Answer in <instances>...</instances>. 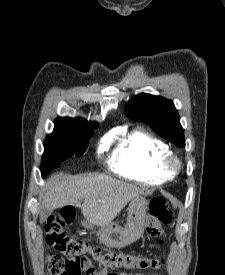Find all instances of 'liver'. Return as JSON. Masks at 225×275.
Masks as SVG:
<instances>
[{"mask_svg":"<svg viewBox=\"0 0 225 275\" xmlns=\"http://www.w3.org/2000/svg\"><path fill=\"white\" fill-rule=\"evenodd\" d=\"M144 194L141 188L105 174L58 173L47 180L41 198L43 207L50 210L67 205L80 207L90 224L103 227L110 224L130 200Z\"/></svg>","mask_w":225,"mask_h":275,"instance_id":"obj_1","label":"liver"}]
</instances>
